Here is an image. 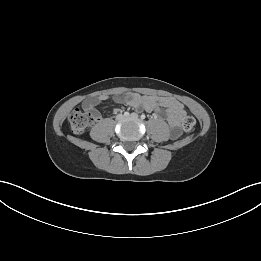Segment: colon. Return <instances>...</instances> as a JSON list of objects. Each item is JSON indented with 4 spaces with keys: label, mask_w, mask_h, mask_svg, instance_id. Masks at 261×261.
I'll return each mask as SVG.
<instances>
[{
    "label": "colon",
    "mask_w": 261,
    "mask_h": 261,
    "mask_svg": "<svg viewBox=\"0 0 261 261\" xmlns=\"http://www.w3.org/2000/svg\"><path fill=\"white\" fill-rule=\"evenodd\" d=\"M94 121V117L89 112H83L75 109L69 116V124L71 130L76 134L83 133ZM196 120L191 114H186L183 118V129L185 132H192Z\"/></svg>",
    "instance_id": "colon-1"
}]
</instances>
